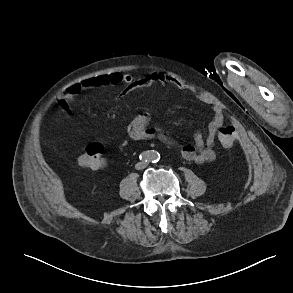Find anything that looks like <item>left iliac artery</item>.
Instances as JSON below:
<instances>
[{"instance_id": "1", "label": "left iliac artery", "mask_w": 293, "mask_h": 293, "mask_svg": "<svg viewBox=\"0 0 293 293\" xmlns=\"http://www.w3.org/2000/svg\"><path fill=\"white\" fill-rule=\"evenodd\" d=\"M158 156H159V154L157 153V152H153L152 153V159L154 160V161H158ZM153 161V162H154Z\"/></svg>"}]
</instances>
